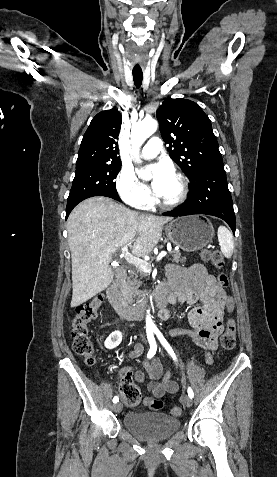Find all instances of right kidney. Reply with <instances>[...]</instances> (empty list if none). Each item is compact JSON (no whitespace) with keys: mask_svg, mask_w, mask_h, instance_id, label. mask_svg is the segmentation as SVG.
<instances>
[{"mask_svg":"<svg viewBox=\"0 0 277 477\" xmlns=\"http://www.w3.org/2000/svg\"><path fill=\"white\" fill-rule=\"evenodd\" d=\"M121 341H122V333L120 331H114L105 340L104 345L107 349H114L117 346H119Z\"/></svg>","mask_w":277,"mask_h":477,"instance_id":"right-kidney-1","label":"right kidney"}]
</instances>
